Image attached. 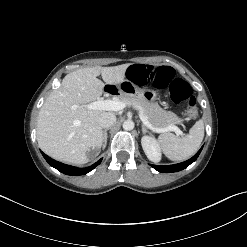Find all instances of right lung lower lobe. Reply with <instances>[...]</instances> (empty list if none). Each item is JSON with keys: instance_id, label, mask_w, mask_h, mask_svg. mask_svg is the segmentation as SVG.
Instances as JSON below:
<instances>
[{"instance_id": "right-lung-lower-lobe-1", "label": "right lung lower lobe", "mask_w": 247, "mask_h": 247, "mask_svg": "<svg viewBox=\"0 0 247 247\" xmlns=\"http://www.w3.org/2000/svg\"><path fill=\"white\" fill-rule=\"evenodd\" d=\"M43 157L45 158V160L54 168H56L57 170H59L60 172L67 174V175H85L88 172H90L91 170H93L96 166H98L102 159H100L99 161H97L95 164H93L92 166L85 168V169H79L77 167H73L70 165H66L63 163H60L52 158H50L49 156H47L46 154H44L43 152H41Z\"/></svg>"}]
</instances>
